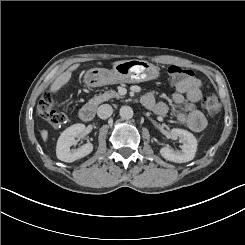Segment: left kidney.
<instances>
[{
    "mask_svg": "<svg viewBox=\"0 0 245 245\" xmlns=\"http://www.w3.org/2000/svg\"><path fill=\"white\" fill-rule=\"evenodd\" d=\"M172 138H179L183 145L181 146V151H174L168 147H162L159 150L160 155L171 162L185 163L194 159L197 140L195 136L187 130L174 128L171 131Z\"/></svg>",
    "mask_w": 245,
    "mask_h": 245,
    "instance_id": "5707ae66",
    "label": "left kidney"
}]
</instances>
